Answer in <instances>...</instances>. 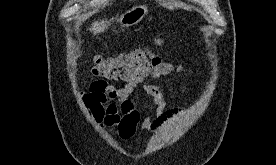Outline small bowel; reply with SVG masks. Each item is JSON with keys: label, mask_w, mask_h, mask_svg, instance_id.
I'll return each mask as SVG.
<instances>
[{"label": "small bowel", "mask_w": 276, "mask_h": 165, "mask_svg": "<svg viewBox=\"0 0 276 165\" xmlns=\"http://www.w3.org/2000/svg\"><path fill=\"white\" fill-rule=\"evenodd\" d=\"M183 71L181 65L161 62L149 76L126 81L121 87L96 80L90 84L89 92L82 96V104L100 126L110 128L112 133L127 141L135 135L139 126L143 132H154L179 113L178 109H166L159 88L145 81ZM137 88L153 97L156 103L154 114L148 110L142 113L136 107L131 95Z\"/></svg>", "instance_id": "1"}]
</instances>
